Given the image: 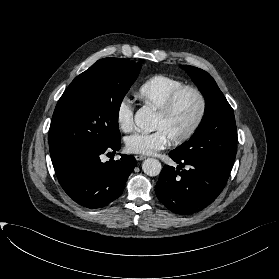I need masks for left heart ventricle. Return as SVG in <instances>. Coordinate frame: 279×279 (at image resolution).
<instances>
[{
  "mask_svg": "<svg viewBox=\"0 0 279 279\" xmlns=\"http://www.w3.org/2000/svg\"><path fill=\"white\" fill-rule=\"evenodd\" d=\"M200 108L198 97L192 92L182 93L169 115L156 114L153 129L162 130L169 140L186 132L196 119Z\"/></svg>",
  "mask_w": 279,
  "mask_h": 279,
  "instance_id": "1",
  "label": "left heart ventricle"
}]
</instances>
